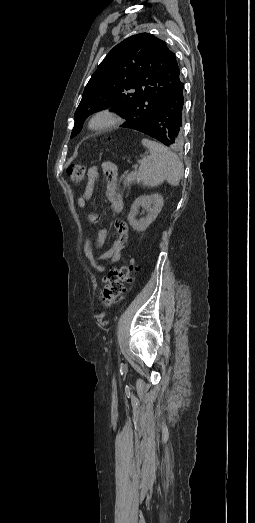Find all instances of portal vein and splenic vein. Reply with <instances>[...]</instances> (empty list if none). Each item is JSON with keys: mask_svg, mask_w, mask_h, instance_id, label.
<instances>
[{"mask_svg": "<svg viewBox=\"0 0 255 523\" xmlns=\"http://www.w3.org/2000/svg\"><path fill=\"white\" fill-rule=\"evenodd\" d=\"M138 172H139L138 166H133V168H131V173L137 174Z\"/></svg>", "mask_w": 255, "mask_h": 523, "instance_id": "18ae733b", "label": "portal vein and splenic vein"}]
</instances>
